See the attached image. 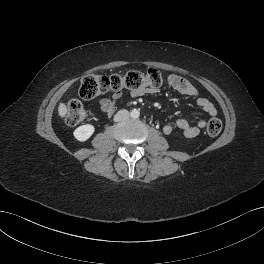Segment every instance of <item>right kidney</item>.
<instances>
[{"instance_id": "right-kidney-1", "label": "right kidney", "mask_w": 264, "mask_h": 264, "mask_svg": "<svg viewBox=\"0 0 264 264\" xmlns=\"http://www.w3.org/2000/svg\"><path fill=\"white\" fill-rule=\"evenodd\" d=\"M95 128L93 125L91 124H86V125H82L79 126L75 131H74V137L78 140V141H86L87 139H89L92 134L94 133Z\"/></svg>"}]
</instances>
